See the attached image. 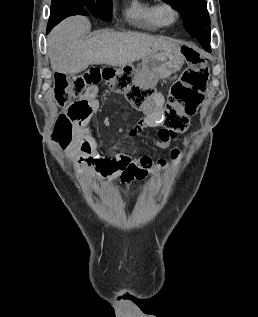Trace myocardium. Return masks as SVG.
<instances>
[{
	"label": "myocardium",
	"mask_w": 258,
	"mask_h": 317,
	"mask_svg": "<svg viewBox=\"0 0 258 317\" xmlns=\"http://www.w3.org/2000/svg\"><path fill=\"white\" fill-rule=\"evenodd\" d=\"M157 17L162 25H170L175 22L177 12L171 4L163 3L158 7Z\"/></svg>",
	"instance_id": "f54148a6"
}]
</instances>
